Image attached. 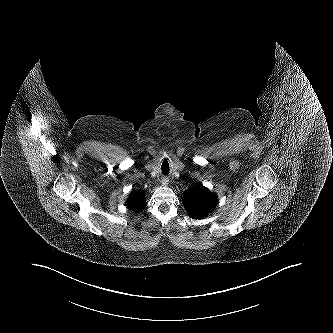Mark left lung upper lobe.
<instances>
[{
  "label": "left lung upper lobe",
  "instance_id": "obj_1",
  "mask_svg": "<svg viewBox=\"0 0 333 333\" xmlns=\"http://www.w3.org/2000/svg\"><path fill=\"white\" fill-rule=\"evenodd\" d=\"M217 195L200 185L188 190L183 198V205L190 217L202 219L217 205Z\"/></svg>",
  "mask_w": 333,
  "mask_h": 333
}]
</instances>
